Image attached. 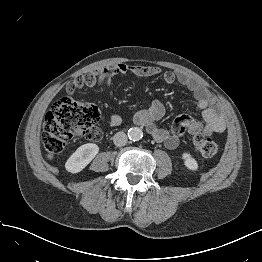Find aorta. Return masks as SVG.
I'll use <instances>...</instances> for the list:
<instances>
[{"mask_svg": "<svg viewBox=\"0 0 262 262\" xmlns=\"http://www.w3.org/2000/svg\"><path fill=\"white\" fill-rule=\"evenodd\" d=\"M128 137L132 141H139L143 137V131L139 127L130 128L128 131Z\"/></svg>", "mask_w": 262, "mask_h": 262, "instance_id": "obj_1", "label": "aorta"}]
</instances>
